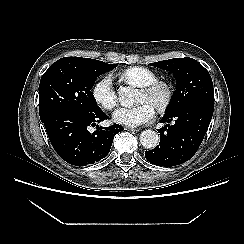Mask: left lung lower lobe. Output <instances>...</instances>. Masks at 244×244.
<instances>
[{
	"mask_svg": "<svg viewBox=\"0 0 244 244\" xmlns=\"http://www.w3.org/2000/svg\"><path fill=\"white\" fill-rule=\"evenodd\" d=\"M214 111V103L192 102L171 114H165L161 122L170 123L158 130L160 143L145 152L146 159L158 166H176L188 161L198 150L207 132Z\"/></svg>",
	"mask_w": 244,
	"mask_h": 244,
	"instance_id": "obj_1",
	"label": "left lung lower lobe"
}]
</instances>
